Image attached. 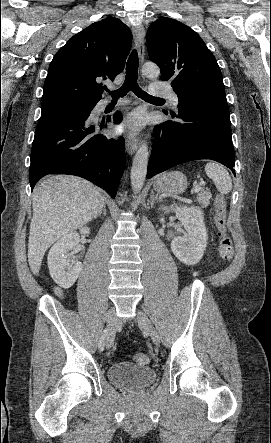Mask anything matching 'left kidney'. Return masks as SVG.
Wrapping results in <instances>:
<instances>
[{
  "mask_svg": "<svg viewBox=\"0 0 271 443\" xmlns=\"http://www.w3.org/2000/svg\"><path fill=\"white\" fill-rule=\"evenodd\" d=\"M170 212L168 208H160ZM176 218L183 223L186 235H177L171 241V249L186 265H195L203 257L204 249L207 247V229L204 223L202 210L199 208H172Z\"/></svg>",
  "mask_w": 271,
  "mask_h": 443,
  "instance_id": "left-kidney-1",
  "label": "left kidney"
}]
</instances>
